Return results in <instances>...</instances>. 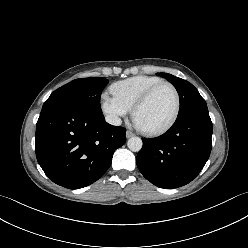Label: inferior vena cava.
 Segmentation results:
<instances>
[{
    "label": "inferior vena cava",
    "mask_w": 248,
    "mask_h": 248,
    "mask_svg": "<svg viewBox=\"0 0 248 248\" xmlns=\"http://www.w3.org/2000/svg\"><path fill=\"white\" fill-rule=\"evenodd\" d=\"M105 120L107 123L115 126H119L122 123L121 119L115 115H107Z\"/></svg>",
    "instance_id": "obj_1"
}]
</instances>
